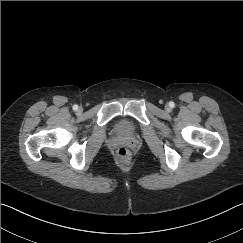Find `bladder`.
Returning <instances> with one entry per match:
<instances>
[{"label": "bladder", "instance_id": "bladder-1", "mask_svg": "<svg viewBox=\"0 0 243 243\" xmlns=\"http://www.w3.org/2000/svg\"><path fill=\"white\" fill-rule=\"evenodd\" d=\"M114 128L115 132L120 136H129L135 133V127L126 117L117 119Z\"/></svg>", "mask_w": 243, "mask_h": 243}]
</instances>
